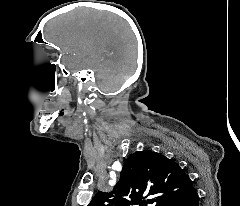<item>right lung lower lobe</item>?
Instances as JSON below:
<instances>
[{
	"label": "right lung lower lobe",
	"mask_w": 240,
	"mask_h": 206,
	"mask_svg": "<svg viewBox=\"0 0 240 206\" xmlns=\"http://www.w3.org/2000/svg\"><path fill=\"white\" fill-rule=\"evenodd\" d=\"M198 203V193L196 189L192 187L186 194L173 199L166 204V206H198Z\"/></svg>",
	"instance_id": "98d812e1"
}]
</instances>
